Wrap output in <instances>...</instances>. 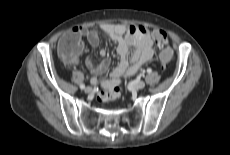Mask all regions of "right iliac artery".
I'll return each mask as SVG.
<instances>
[{
    "mask_svg": "<svg viewBox=\"0 0 230 155\" xmlns=\"http://www.w3.org/2000/svg\"><path fill=\"white\" fill-rule=\"evenodd\" d=\"M80 88H81V89H84V88H85V85H84V84H80Z\"/></svg>",
    "mask_w": 230,
    "mask_h": 155,
    "instance_id": "right-iliac-artery-1",
    "label": "right iliac artery"
}]
</instances>
